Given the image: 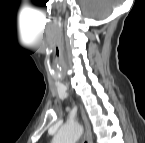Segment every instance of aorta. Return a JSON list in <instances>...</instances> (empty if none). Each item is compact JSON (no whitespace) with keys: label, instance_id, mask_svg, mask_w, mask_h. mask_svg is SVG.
<instances>
[{"label":"aorta","instance_id":"obj_1","mask_svg":"<svg viewBox=\"0 0 145 143\" xmlns=\"http://www.w3.org/2000/svg\"><path fill=\"white\" fill-rule=\"evenodd\" d=\"M82 134V128L78 123L67 124L61 127L55 135L54 143H76Z\"/></svg>","mask_w":145,"mask_h":143}]
</instances>
